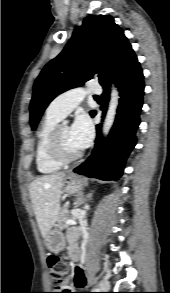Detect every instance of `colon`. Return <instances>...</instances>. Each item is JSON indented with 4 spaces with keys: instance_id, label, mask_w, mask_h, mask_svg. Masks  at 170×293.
Segmentation results:
<instances>
[{
    "instance_id": "colon-1",
    "label": "colon",
    "mask_w": 170,
    "mask_h": 293,
    "mask_svg": "<svg viewBox=\"0 0 170 293\" xmlns=\"http://www.w3.org/2000/svg\"><path fill=\"white\" fill-rule=\"evenodd\" d=\"M47 261L54 286V290L51 293H71L67 288V278L69 276L67 263L57 256H49Z\"/></svg>"
}]
</instances>
